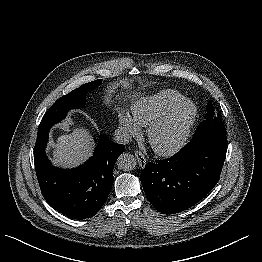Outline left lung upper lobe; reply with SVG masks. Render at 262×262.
<instances>
[{"mask_svg": "<svg viewBox=\"0 0 262 262\" xmlns=\"http://www.w3.org/2000/svg\"><path fill=\"white\" fill-rule=\"evenodd\" d=\"M209 135L226 136L221 114L216 112L211 101L207 104V119L197 127L193 138L197 139Z\"/></svg>", "mask_w": 262, "mask_h": 262, "instance_id": "obj_1", "label": "left lung upper lobe"}]
</instances>
